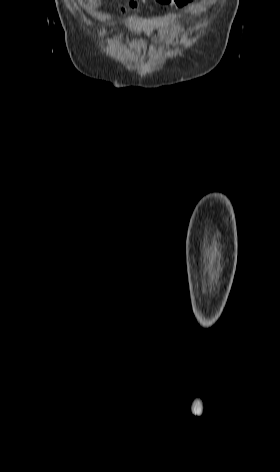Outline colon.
Wrapping results in <instances>:
<instances>
[{
  "instance_id": "1",
  "label": "colon",
  "mask_w": 280,
  "mask_h": 472,
  "mask_svg": "<svg viewBox=\"0 0 280 472\" xmlns=\"http://www.w3.org/2000/svg\"><path fill=\"white\" fill-rule=\"evenodd\" d=\"M157 3L162 4V5H168V4H176L177 2H180L179 0H155ZM139 3L137 1H131L128 5V8L133 9L137 7ZM125 11V9H123Z\"/></svg>"
}]
</instances>
